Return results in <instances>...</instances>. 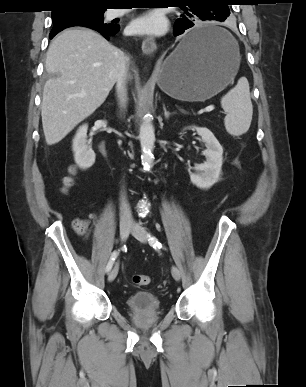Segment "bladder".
<instances>
[{
    "mask_svg": "<svg viewBox=\"0 0 306 387\" xmlns=\"http://www.w3.org/2000/svg\"><path fill=\"white\" fill-rule=\"evenodd\" d=\"M125 304L128 311L135 314H158L162 311L160 299L149 291H137L130 294Z\"/></svg>",
    "mask_w": 306,
    "mask_h": 387,
    "instance_id": "obj_1",
    "label": "bladder"
}]
</instances>
